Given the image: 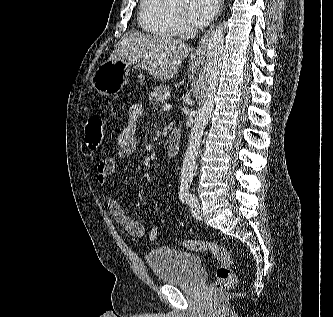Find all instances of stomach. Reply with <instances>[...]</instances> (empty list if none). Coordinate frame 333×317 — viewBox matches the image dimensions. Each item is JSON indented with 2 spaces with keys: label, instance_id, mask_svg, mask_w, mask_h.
I'll use <instances>...</instances> for the list:
<instances>
[{
  "label": "stomach",
  "instance_id": "0dacf381",
  "mask_svg": "<svg viewBox=\"0 0 333 317\" xmlns=\"http://www.w3.org/2000/svg\"><path fill=\"white\" fill-rule=\"evenodd\" d=\"M131 65L122 61H106L94 73L92 86L105 96L114 95L123 88L125 77Z\"/></svg>",
  "mask_w": 333,
  "mask_h": 317
}]
</instances>
